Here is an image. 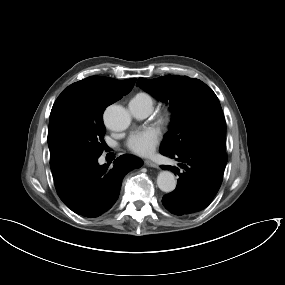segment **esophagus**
<instances>
[{
	"label": "esophagus",
	"mask_w": 285,
	"mask_h": 285,
	"mask_svg": "<svg viewBox=\"0 0 285 285\" xmlns=\"http://www.w3.org/2000/svg\"><path fill=\"white\" fill-rule=\"evenodd\" d=\"M144 165L148 167L158 168V164L154 163L153 161L146 159L144 160Z\"/></svg>",
	"instance_id": "34e87169"
}]
</instances>
